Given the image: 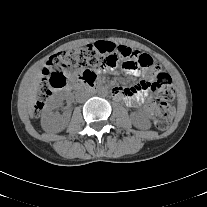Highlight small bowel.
<instances>
[{"mask_svg": "<svg viewBox=\"0 0 207 207\" xmlns=\"http://www.w3.org/2000/svg\"><path fill=\"white\" fill-rule=\"evenodd\" d=\"M124 69L126 70L127 73L134 76L144 74L141 71V68L130 67ZM149 91H150V82L147 80H143L139 82L137 85L130 88L115 87L112 90V94L114 98L118 100H123L129 107L134 109L140 107L144 103H147L146 112L147 114L152 115L153 106H152V98L149 94Z\"/></svg>", "mask_w": 207, "mask_h": 207, "instance_id": "c3829d8e", "label": "small bowel"}]
</instances>
